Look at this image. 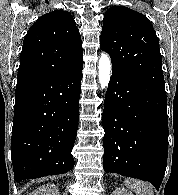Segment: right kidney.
I'll return each instance as SVG.
<instances>
[{"mask_svg": "<svg viewBox=\"0 0 178 195\" xmlns=\"http://www.w3.org/2000/svg\"><path fill=\"white\" fill-rule=\"evenodd\" d=\"M30 195H59V192L56 185L45 184L34 190Z\"/></svg>", "mask_w": 178, "mask_h": 195, "instance_id": "obj_1", "label": "right kidney"}]
</instances>
